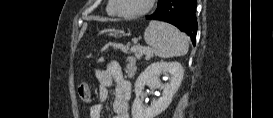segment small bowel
<instances>
[{
	"label": "small bowel",
	"instance_id": "obj_1",
	"mask_svg": "<svg viewBox=\"0 0 273 118\" xmlns=\"http://www.w3.org/2000/svg\"><path fill=\"white\" fill-rule=\"evenodd\" d=\"M96 77L100 102L91 105L90 118H101L103 103L109 98L111 87H114L113 118H130L131 83L124 77L120 67L116 63H109L106 68L96 70ZM81 100L90 103V91L88 98Z\"/></svg>",
	"mask_w": 273,
	"mask_h": 118
}]
</instances>
